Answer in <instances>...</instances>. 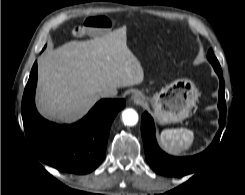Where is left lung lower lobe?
I'll list each match as a JSON object with an SVG mask.
<instances>
[{"label": "left lung lower lobe", "instance_id": "1", "mask_svg": "<svg viewBox=\"0 0 245 195\" xmlns=\"http://www.w3.org/2000/svg\"><path fill=\"white\" fill-rule=\"evenodd\" d=\"M220 80L219 87V103L218 108L220 111V129L209 148L204 152L192 157H174L163 152L155 138V127L152 117L145 112L141 120V133L145 148V156L151 168L159 174L171 177H179L190 174L196 170L197 165L206 156V154L214 147L220 138L221 132L225 125L226 119V103H225V86L222 77L221 68H214Z\"/></svg>", "mask_w": 245, "mask_h": 195}]
</instances>
